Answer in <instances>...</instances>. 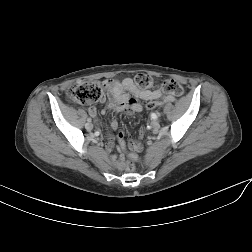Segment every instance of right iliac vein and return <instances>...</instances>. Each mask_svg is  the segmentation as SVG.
I'll list each match as a JSON object with an SVG mask.
<instances>
[{
    "label": "right iliac vein",
    "mask_w": 252,
    "mask_h": 252,
    "mask_svg": "<svg viewBox=\"0 0 252 252\" xmlns=\"http://www.w3.org/2000/svg\"><path fill=\"white\" fill-rule=\"evenodd\" d=\"M85 128H86L88 131H91V130L93 129L92 123H86V124H85Z\"/></svg>",
    "instance_id": "63e3f726"
}]
</instances>
